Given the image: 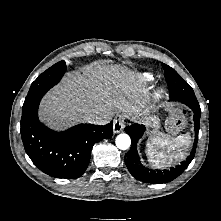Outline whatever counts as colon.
I'll use <instances>...</instances> for the list:
<instances>
[{
    "label": "colon",
    "instance_id": "1",
    "mask_svg": "<svg viewBox=\"0 0 221 221\" xmlns=\"http://www.w3.org/2000/svg\"><path fill=\"white\" fill-rule=\"evenodd\" d=\"M184 123H185L184 111L181 109H175L168 125L169 129L171 131L176 132L183 127Z\"/></svg>",
    "mask_w": 221,
    "mask_h": 221
}]
</instances>
